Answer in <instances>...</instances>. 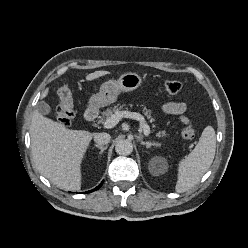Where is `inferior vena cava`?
Here are the masks:
<instances>
[{"mask_svg":"<svg viewBox=\"0 0 248 248\" xmlns=\"http://www.w3.org/2000/svg\"><path fill=\"white\" fill-rule=\"evenodd\" d=\"M111 136L108 133H95L94 141L99 145H106L110 142Z\"/></svg>","mask_w":248,"mask_h":248,"instance_id":"obj_1","label":"inferior vena cava"}]
</instances>
